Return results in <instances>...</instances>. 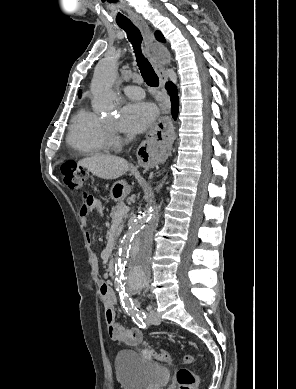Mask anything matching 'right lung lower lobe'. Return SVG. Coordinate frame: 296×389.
<instances>
[{
  "label": "right lung lower lobe",
  "mask_w": 296,
  "mask_h": 389,
  "mask_svg": "<svg viewBox=\"0 0 296 389\" xmlns=\"http://www.w3.org/2000/svg\"><path fill=\"white\" fill-rule=\"evenodd\" d=\"M166 89L170 94L171 106H172V116L174 119H176L177 115H178V106H179L178 91H177L176 86L171 82L166 83Z\"/></svg>",
  "instance_id": "98d812e1"
}]
</instances>
